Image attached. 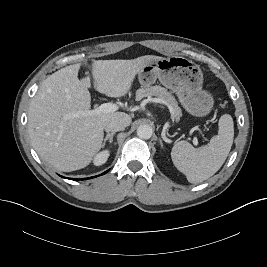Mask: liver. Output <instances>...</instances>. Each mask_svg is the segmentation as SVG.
Listing matches in <instances>:
<instances>
[{"instance_id":"6515ba94","label":"liver","mask_w":267,"mask_h":267,"mask_svg":"<svg viewBox=\"0 0 267 267\" xmlns=\"http://www.w3.org/2000/svg\"><path fill=\"white\" fill-rule=\"evenodd\" d=\"M157 56L131 60H98L92 76L96 90L108 97L125 96L135 75ZM79 64L66 66L48 76L39 87L28 110V134L38 155L62 172L82 169L102 148L104 124L131 117L123 112L83 115L90 111L88 80H79Z\"/></svg>"}]
</instances>
